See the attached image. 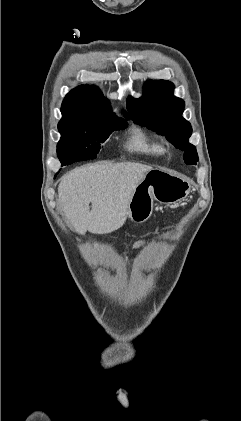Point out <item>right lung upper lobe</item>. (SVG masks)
Segmentation results:
<instances>
[{"instance_id": "cb5924a9", "label": "right lung upper lobe", "mask_w": 241, "mask_h": 421, "mask_svg": "<svg viewBox=\"0 0 241 421\" xmlns=\"http://www.w3.org/2000/svg\"><path fill=\"white\" fill-rule=\"evenodd\" d=\"M62 120L92 123L103 118H116L109 101L95 86L81 85L68 93L61 107Z\"/></svg>"}]
</instances>
